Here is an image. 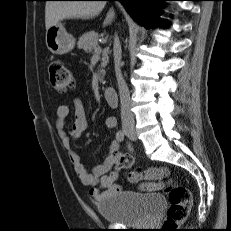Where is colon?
<instances>
[{
  "mask_svg": "<svg viewBox=\"0 0 231 231\" xmlns=\"http://www.w3.org/2000/svg\"><path fill=\"white\" fill-rule=\"evenodd\" d=\"M49 75L53 89L59 93H65L75 85L73 74L61 61H52L50 63ZM114 158L121 168L128 169L132 165L131 156L122 154L119 151L114 153ZM128 179L131 182L154 179H164L166 181V195L170 206L162 225V231H173L175 230L174 228L187 219L192 206L191 193L184 186L168 179L164 170L131 171L128 174Z\"/></svg>",
  "mask_w": 231,
  "mask_h": 231,
  "instance_id": "5ec220e1",
  "label": "colon"
}]
</instances>
